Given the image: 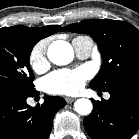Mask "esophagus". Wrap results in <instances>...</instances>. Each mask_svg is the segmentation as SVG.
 I'll list each match as a JSON object with an SVG mask.
<instances>
[{"label":"esophagus","mask_w":139,"mask_h":139,"mask_svg":"<svg viewBox=\"0 0 139 139\" xmlns=\"http://www.w3.org/2000/svg\"><path fill=\"white\" fill-rule=\"evenodd\" d=\"M65 100L67 103H72L75 100V98L66 97Z\"/></svg>","instance_id":"esophagus-1"}]
</instances>
